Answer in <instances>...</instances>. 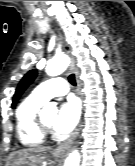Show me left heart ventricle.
Wrapping results in <instances>:
<instances>
[{"instance_id": "1", "label": "left heart ventricle", "mask_w": 135, "mask_h": 166, "mask_svg": "<svg viewBox=\"0 0 135 166\" xmlns=\"http://www.w3.org/2000/svg\"><path fill=\"white\" fill-rule=\"evenodd\" d=\"M55 118L56 115L54 113L42 115L43 122L50 128L53 126Z\"/></svg>"}]
</instances>
